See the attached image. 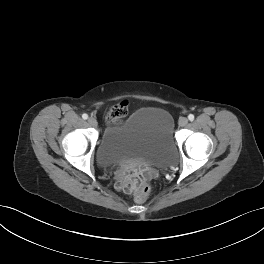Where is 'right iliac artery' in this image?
Here are the masks:
<instances>
[{"label":"right iliac artery","mask_w":264,"mask_h":264,"mask_svg":"<svg viewBox=\"0 0 264 264\" xmlns=\"http://www.w3.org/2000/svg\"><path fill=\"white\" fill-rule=\"evenodd\" d=\"M82 118L86 120V119L88 118V115H87L86 113H84V114L82 115Z\"/></svg>","instance_id":"obj_1"}]
</instances>
